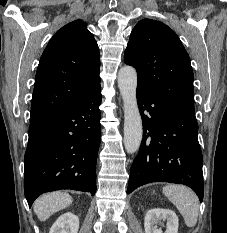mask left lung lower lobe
I'll return each instance as SVG.
<instances>
[{
	"mask_svg": "<svg viewBox=\"0 0 227 233\" xmlns=\"http://www.w3.org/2000/svg\"><path fill=\"white\" fill-rule=\"evenodd\" d=\"M143 139L131 166L127 193L151 182L192 188L203 200V156L195 113L137 89Z\"/></svg>",
	"mask_w": 227,
	"mask_h": 233,
	"instance_id": "obj_1",
	"label": "left lung lower lobe"
}]
</instances>
